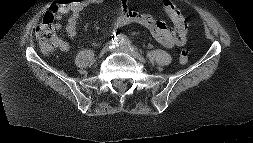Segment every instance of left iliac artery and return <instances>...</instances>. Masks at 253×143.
Here are the masks:
<instances>
[{
  "mask_svg": "<svg viewBox=\"0 0 253 143\" xmlns=\"http://www.w3.org/2000/svg\"><path fill=\"white\" fill-rule=\"evenodd\" d=\"M121 47H132L134 48L132 45H131V42L129 39L127 38H123L122 42H121Z\"/></svg>",
  "mask_w": 253,
  "mask_h": 143,
  "instance_id": "44dca946",
  "label": "left iliac artery"
}]
</instances>
